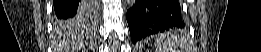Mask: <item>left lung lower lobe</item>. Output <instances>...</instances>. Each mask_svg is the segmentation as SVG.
<instances>
[{
    "mask_svg": "<svg viewBox=\"0 0 261 52\" xmlns=\"http://www.w3.org/2000/svg\"><path fill=\"white\" fill-rule=\"evenodd\" d=\"M127 22L133 43L184 26L178 0H137L127 11Z\"/></svg>",
    "mask_w": 261,
    "mask_h": 52,
    "instance_id": "1",
    "label": "left lung lower lobe"
}]
</instances>
